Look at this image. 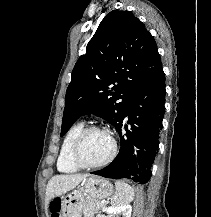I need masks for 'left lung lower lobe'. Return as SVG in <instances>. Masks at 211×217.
<instances>
[{
  "instance_id": "left-lung-lower-lobe-1",
  "label": "left lung lower lobe",
  "mask_w": 211,
  "mask_h": 217,
  "mask_svg": "<svg viewBox=\"0 0 211 217\" xmlns=\"http://www.w3.org/2000/svg\"><path fill=\"white\" fill-rule=\"evenodd\" d=\"M165 93V74L161 67L133 94L115 127L121 140L117 157L106 168L92 174L113 179L129 178L139 184L149 181L162 128ZM125 117L128 122L124 125L126 133L122 134Z\"/></svg>"
}]
</instances>
